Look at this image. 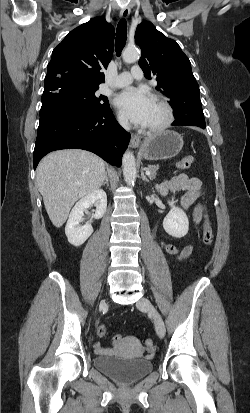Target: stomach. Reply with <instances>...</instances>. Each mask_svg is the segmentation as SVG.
<instances>
[{
	"instance_id": "stomach-1",
	"label": "stomach",
	"mask_w": 250,
	"mask_h": 413,
	"mask_svg": "<svg viewBox=\"0 0 250 413\" xmlns=\"http://www.w3.org/2000/svg\"><path fill=\"white\" fill-rule=\"evenodd\" d=\"M183 147V137L172 130H165L147 137L141 144L140 154L146 160H164L176 156Z\"/></svg>"
}]
</instances>
